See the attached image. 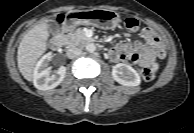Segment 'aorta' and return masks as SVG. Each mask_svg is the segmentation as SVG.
<instances>
[{
  "label": "aorta",
  "mask_w": 194,
  "mask_h": 133,
  "mask_svg": "<svg viewBox=\"0 0 194 133\" xmlns=\"http://www.w3.org/2000/svg\"><path fill=\"white\" fill-rule=\"evenodd\" d=\"M96 50V47L93 43L86 45V51L89 53H93Z\"/></svg>",
  "instance_id": "obj_1"
}]
</instances>
